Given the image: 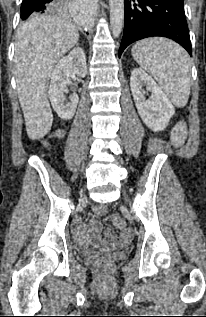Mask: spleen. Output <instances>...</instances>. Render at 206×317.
I'll list each match as a JSON object with an SVG mask.
<instances>
[{"label":"spleen","mask_w":206,"mask_h":317,"mask_svg":"<svg viewBox=\"0 0 206 317\" xmlns=\"http://www.w3.org/2000/svg\"><path fill=\"white\" fill-rule=\"evenodd\" d=\"M132 56L156 79L175 106L186 105L191 86V62L181 46L164 38H148L132 47Z\"/></svg>","instance_id":"3e777b00"}]
</instances>
